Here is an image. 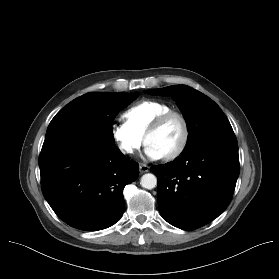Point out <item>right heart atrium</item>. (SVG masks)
Segmentation results:
<instances>
[{
    "label": "right heart atrium",
    "instance_id": "obj_1",
    "mask_svg": "<svg viewBox=\"0 0 279 279\" xmlns=\"http://www.w3.org/2000/svg\"><path fill=\"white\" fill-rule=\"evenodd\" d=\"M111 135L118 150L127 156L134 155L142 146L143 139L126 122L114 123Z\"/></svg>",
    "mask_w": 279,
    "mask_h": 279
}]
</instances>
